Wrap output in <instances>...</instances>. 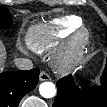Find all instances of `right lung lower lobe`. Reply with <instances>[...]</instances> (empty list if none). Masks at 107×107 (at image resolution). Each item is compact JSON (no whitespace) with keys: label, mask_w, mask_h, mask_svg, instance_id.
Returning <instances> with one entry per match:
<instances>
[{"label":"right lung lower lobe","mask_w":107,"mask_h":107,"mask_svg":"<svg viewBox=\"0 0 107 107\" xmlns=\"http://www.w3.org/2000/svg\"><path fill=\"white\" fill-rule=\"evenodd\" d=\"M38 78V68L1 73L0 107H18L23 96L36 87Z\"/></svg>","instance_id":"1"}]
</instances>
